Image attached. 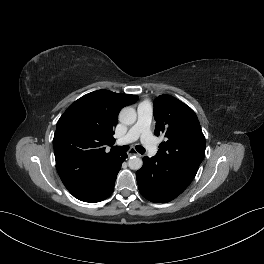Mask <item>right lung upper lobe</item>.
I'll return each instance as SVG.
<instances>
[{"mask_svg":"<svg viewBox=\"0 0 264 264\" xmlns=\"http://www.w3.org/2000/svg\"><path fill=\"white\" fill-rule=\"evenodd\" d=\"M138 96L98 90L71 104L57 122L53 139L56 168L79 200L90 202L108 185L109 172L121 153L105 152L113 145L120 110L136 103Z\"/></svg>","mask_w":264,"mask_h":264,"instance_id":"obj_1","label":"right lung upper lobe"}]
</instances>
